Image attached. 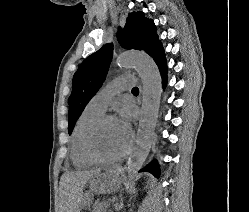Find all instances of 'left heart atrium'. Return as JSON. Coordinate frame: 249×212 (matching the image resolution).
<instances>
[{
  "label": "left heart atrium",
  "instance_id": "1",
  "mask_svg": "<svg viewBox=\"0 0 249 212\" xmlns=\"http://www.w3.org/2000/svg\"><path fill=\"white\" fill-rule=\"evenodd\" d=\"M117 125L123 136L125 137L126 140V145L127 147L131 143V138H132V129L130 122L127 117H123L119 120H117Z\"/></svg>",
  "mask_w": 249,
  "mask_h": 212
}]
</instances>
